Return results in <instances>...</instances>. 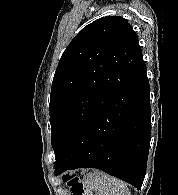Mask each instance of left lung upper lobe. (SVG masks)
<instances>
[{
  "mask_svg": "<svg viewBox=\"0 0 178 195\" xmlns=\"http://www.w3.org/2000/svg\"><path fill=\"white\" fill-rule=\"evenodd\" d=\"M143 65L138 37L122 17L99 18L74 37L60 58L51 87L56 161L93 113Z\"/></svg>",
  "mask_w": 178,
  "mask_h": 195,
  "instance_id": "1",
  "label": "left lung upper lobe"
}]
</instances>
